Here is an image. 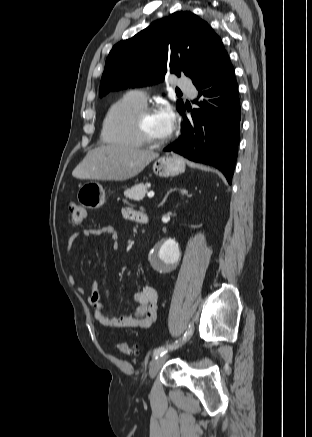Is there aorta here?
<instances>
[{
    "instance_id": "1",
    "label": "aorta",
    "mask_w": 312,
    "mask_h": 437,
    "mask_svg": "<svg viewBox=\"0 0 312 437\" xmlns=\"http://www.w3.org/2000/svg\"><path fill=\"white\" fill-rule=\"evenodd\" d=\"M179 254L178 244L171 239L165 240L155 252L156 268L163 269L168 263L176 261Z\"/></svg>"
}]
</instances>
